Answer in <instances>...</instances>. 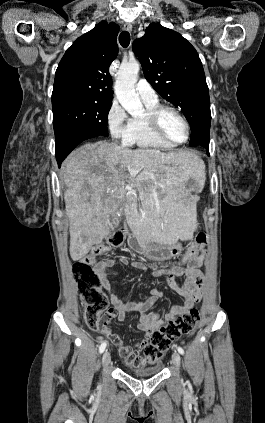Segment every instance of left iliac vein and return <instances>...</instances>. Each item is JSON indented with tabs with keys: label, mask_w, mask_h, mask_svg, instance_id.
I'll list each match as a JSON object with an SVG mask.
<instances>
[{
	"label": "left iliac vein",
	"mask_w": 265,
	"mask_h": 423,
	"mask_svg": "<svg viewBox=\"0 0 265 423\" xmlns=\"http://www.w3.org/2000/svg\"><path fill=\"white\" fill-rule=\"evenodd\" d=\"M180 362H181V357H180L179 353L174 352L173 355H172V363L174 364L175 367L179 368Z\"/></svg>",
	"instance_id": "left-iliac-vein-1"
}]
</instances>
